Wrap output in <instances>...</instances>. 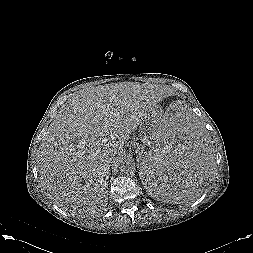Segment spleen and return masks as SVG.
Masks as SVG:
<instances>
[{
  "mask_svg": "<svg viewBox=\"0 0 253 253\" xmlns=\"http://www.w3.org/2000/svg\"><path fill=\"white\" fill-rule=\"evenodd\" d=\"M213 175L211 139L183 102L159 120L139 164L142 185L157 199L179 202L200 193Z\"/></svg>",
  "mask_w": 253,
  "mask_h": 253,
  "instance_id": "1",
  "label": "spleen"
}]
</instances>
